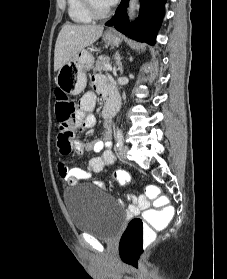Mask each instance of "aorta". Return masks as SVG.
I'll use <instances>...</instances> for the list:
<instances>
[{
	"instance_id": "1",
	"label": "aorta",
	"mask_w": 227,
	"mask_h": 279,
	"mask_svg": "<svg viewBox=\"0 0 227 279\" xmlns=\"http://www.w3.org/2000/svg\"><path fill=\"white\" fill-rule=\"evenodd\" d=\"M137 3H138V0H130V6H129L130 17L134 16V13H135V10L137 7Z\"/></svg>"
}]
</instances>
